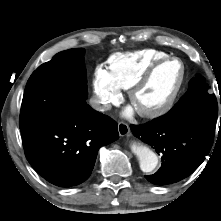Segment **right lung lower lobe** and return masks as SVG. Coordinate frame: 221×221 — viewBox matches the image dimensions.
I'll use <instances>...</instances> for the list:
<instances>
[{"instance_id":"obj_1","label":"right lung lower lobe","mask_w":221,"mask_h":221,"mask_svg":"<svg viewBox=\"0 0 221 221\" xmlns=\"http://www.w3.org/2000/svg\"><path fill=\"white\" fill-rule=\"evenodd\" d=\"M26 158L48 182L81 184L90 176L98 150L119 138L117 123L85 100L63 117L22 132Z\"/></svg>"}]
</instances>
